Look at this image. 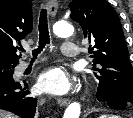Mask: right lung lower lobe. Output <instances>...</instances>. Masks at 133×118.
I'll return each mask as SVG.
<instances>
[{"mask_svg":"<svg viewBox=\"0 0 133 118\" xmlns=\"http://www.w3.org/2000/svg\"><path fill=\"white\" fill-rule=\"evenodd\" d=\"M37 99L30 96L27 83H0V109L8 110L21 118H34Z\"/></svg>","mask_w":133,"mask_h":118,"instance_id":"right-lung-lower-lobe-1","label":"right lung lower lobe"}]
</instances>
